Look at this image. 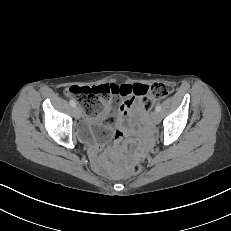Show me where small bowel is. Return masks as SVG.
<instances>
[{"mask_svg":"<svg viewBox=\"0 0 231 231\" xmlns=\"http://www.w3.org/2000/svg\"><path fill=\"white\" fill-rule=\"evenodd\" d=\"M121 86L132 87L133 85L124 84ZM133 96L134 95L132 92L125 94L124 101L119 107V116L116 119H113L111 123L101 126L102 132L104 133L103 140L95 145L92 150V154L94 156L93 162L95 165H100L99 161L96 159V155L103 149L105 141L109 139L111 135L114 139L113 147L116 148L125 136L135 133V122L138 117L143 116V114L135 112V108L137 105L136 98H134L132 102L129 103V99ZM104 104L106 106L104 113H102L97 119L87 118L85 121L86 125L92 127L94 131H96L97 127H99L104 120L110 118L108 103L104 102Z\"/></svg>","mask_w":231,"mask_h":231,"instance_id":"1","label":"small bowel"}]
</instances>
